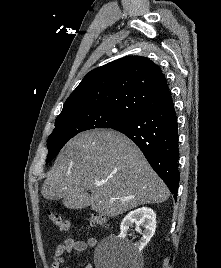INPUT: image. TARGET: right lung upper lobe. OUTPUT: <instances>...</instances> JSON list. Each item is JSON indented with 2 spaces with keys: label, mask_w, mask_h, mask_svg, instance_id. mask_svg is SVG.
<instances>
[{
  "label": "right lung upper lobe",
  "mask_w": 221,
  "mask_h": 268,
  "mask_svg": "<svg viewBox=\"0 0 221 268\" xmlns=\"http://www.w3.org/2000/svg\"><path fill=\"white\" fill-rule=\"evenodd\" d=\"M160 68L128 56L90 71L67 98L62 113L106 109L133 119L172 104Z\"/></svg>",
  "instance_id": "cb5924a9"
}]
</instances>
